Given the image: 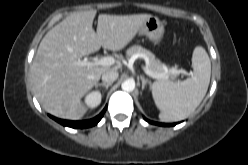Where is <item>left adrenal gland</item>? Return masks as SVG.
Returning <instances> with one entry per match:
<instances>
[{"label":"left adrenal gland","instance_id":"left-adrenal-gland-1","mask_svg":"<svg viewBox=\"0 0 248 165\" xmlns=\"http://www.w3.org/2000/svg\"><path fill=\"white\" fill-rule=\"evenodd\" d=\"M140 79H141V81H142V90H144V88H145V86L147 85V84H150V81L148 80V79H146L144 76H140Z\"/></svg>","mask_w":248,"mask_h":165}]
</instances>
